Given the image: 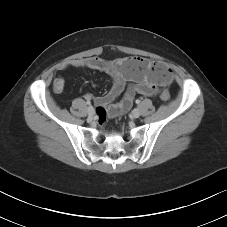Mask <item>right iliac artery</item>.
<instances>
[{"instance_id": "1", "label": "right iliac artery", "mask_w": 227, "mask_h": 227, "mask_svg": "<svg viewBox=\"0 0 227 227\" xmlns=\"http://www.w3.org/2000/svg\"><path fill=\"white\" fill-rule=\"evenodd\" d=\"M86 103H87L88 105H90V104H91V103H90V101H87ZM89 107H92V106H89Z\"/></svg>"}]
</instances>
